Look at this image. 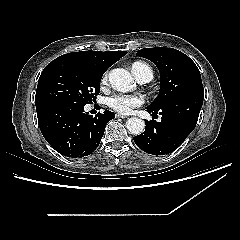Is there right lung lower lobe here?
<instances>
[{
  "mask_svg": "<svg viewBox=\"0 0 240 240\" xmlns=\"http://www.w3.org/2000/svg\"><path fill=\"white\" fill-rule=\"evenodd\" d=\"M36 111L46 141L71 158L90 155L100 144L107 122L115 117L107 110L93 117L84 106L66 101L36 107Z\"/></svg>",
  "mask_w": 240,
  "mask_h": 240,
  "instance_id": "right-lung-lower-lobe-1",
  "label": "right lung lower lobe"
}]
</instances>
